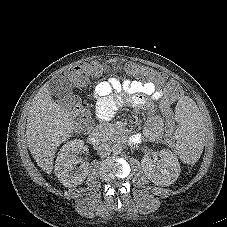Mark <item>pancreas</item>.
Instances as JSON below:
<instances>
[{
  "mask_svg": "<svg viewBox=\"0 0 227 227\" xmlns=\"http://www.w3.org/2000/svg\"><path fill=\"white\" fill-rule=\"evenodd\" d=\"M95 134L105 136L110 134L109 128H104L102 125H98L95 129Z\"/></svg>",
  "mask_w": 227,
  "mask_h": 227,
  "instance_id": "1",
  "label": "pancreas"
}]
</instances>
